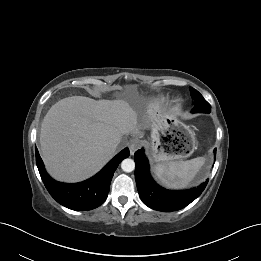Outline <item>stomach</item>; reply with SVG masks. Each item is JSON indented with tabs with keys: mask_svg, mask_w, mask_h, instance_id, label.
<instances>
[{
	"mask_svg": "<svg viewBox=\"0 0 261 261\" xmlns=\"http://www.w3.org/2000/svg\"><path fill=\"white\" fill-rule=\"evenodd\" d=\"M147 149L156 163H167L189 157L195 150L194 132L167 111L157 114Z\"/></svg>",
	"mask_w": 261,
	"mask_h": 261,
	"instance_id": "1",
	"label": "stomach"
}]
</instances>
